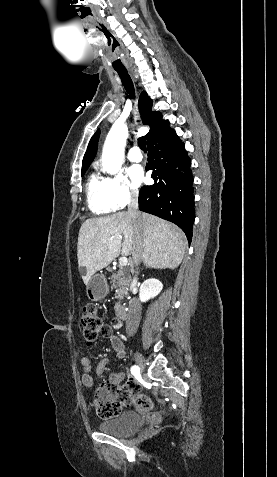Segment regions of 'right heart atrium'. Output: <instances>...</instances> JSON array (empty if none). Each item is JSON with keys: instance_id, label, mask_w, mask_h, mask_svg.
Masks as SVG:
<instances>
[{"instance_id": "1", "label": "right heart atrium", "mask_w": 277, "mask_h": 477, "mask_svg": "<svg viewBox=\"0 0 277 477\" xmlns=\"http://www.w3.org/2000/svg\"><path fill=\"white\" fill-rule=\"evenodd\" d=\"M107 198L113 210H119L138 198V189L122 173L104 178Z\"/></svg>"}]
</instances>
